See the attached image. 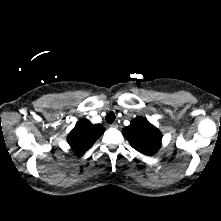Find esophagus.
I'll list each match as a JSON object with an SVG mask.
<instances>
[{
    "label": "esophagus",
    "instance_id": "esophagus-1",
    "mask_svg": "<svg viewBox=\"0 0 221 221\" xmlns=\"http://www.w3.org/2000/svg\"><path fill=\"white\" fill-rule=\"evenodd\" d=\"M110 127H113V128H118L119 127V125L115 122V123H112V124H110Z\"/></svg>",
    "mask_w": 221,
    "mask_h": 221
}]
</instances>
